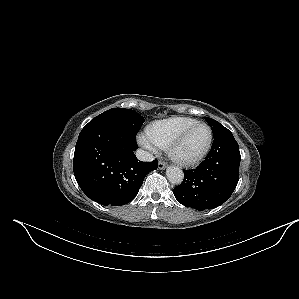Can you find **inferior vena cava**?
<instances>
[{
  "label": "inferior vena cava",
  "instance_id": "602c4592",
  "mask_svg": "<svg viewBox=\"0 0 299 299\" xmlns=\"http://www.w3.org/2000/svg\"><path fill=\"white\" fill-rule=\"evenodd\" d=\"M136 156L140 161H153L154 156L149 152L139 149L136 151Z\"/></svg>",
  "mask_w": 299,
  "mask_h": 299
}]
</instances>
